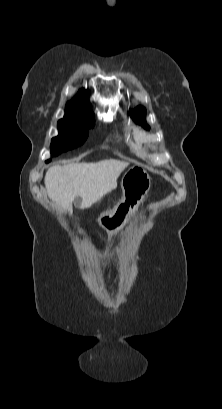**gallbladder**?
Returning <instances> with one entry per match:
<instances>
[{"instance_id":"gallbladder-1","label":"gallbladder","mask_w":222,"mask_h":409,"mask_svg":"<svg viewBox=\"0 0 222 409\" xmlns=\"http://www.w3.org/2000/svg\"><path fill=\"white\" fill-rule=\"evenodd\" d=\"M80 198L79 197H77L75 200H74V205L75 206H79L80 205Z\"/></svg>"}]
</instances>
